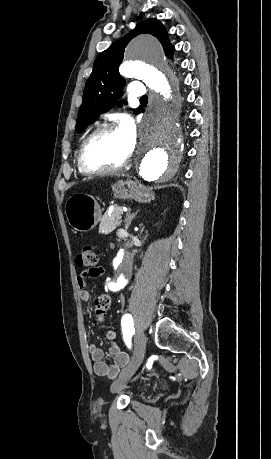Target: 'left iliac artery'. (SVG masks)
Here are the masks:
<instances>
[{"instance_id":"44dca946","label":"left iliac artery","mask_w":271,"mask_h":459,"mask_svg":"<svg viewBox=\"0 0 271 459\" xmlns=\"http://www.w3.org/2000/svg\"><path fill=\"white\" fill-rule=\"evenodd\" d=\"M121 326H122V335L123 339L128 346V348H131V336L133 335V318L130 314H125L122 319H121ZM139 375V374H137ZM135 380V379H134Z\"/></svg>"}]
</instances>
